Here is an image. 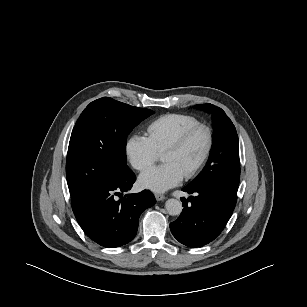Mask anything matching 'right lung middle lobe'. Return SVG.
I'll return each instance as SVG.
<instances>
[{
  "label": "right lung middle lobe",
  "instance_id": "right-lung-middle-lobe-1",
  "mask_svg": "<svg viewBox=\"0 0 307 307\" xmlns=\"http://www.w3.org/2000/svg\"><path fill=\"white\" fill-rule=\"evenodd\" d=\"M154 111L103 97L77 120L69 142L66 177L71 200L103 187L129 170L126 140Z\"/></svg>",
  "mask_w": 307,
  "mask_h": 307
}]
</instances>
